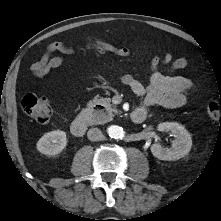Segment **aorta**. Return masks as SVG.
<instances>
[{
    "label": "aorta",
    "instance_id": "obj_1",
    "mask_svg": "<svg viewBox=\"0 0 221 221\" xmlns=\"http://www.w3.org/2000/svg\"><path fill=\"white\" fill-rule=\"evenodd\" d=\"M109 136L114 139H120L124 136L123 129L119 126L112 125L107 130Z\"/></svg>",
    "mask_w": 221,
    "mask_h": 221
}]
</instances>
